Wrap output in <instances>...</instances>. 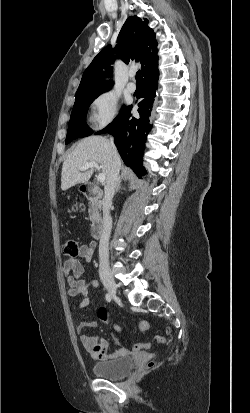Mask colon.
Segmentation results:
<instances>
[{
  "label": "colon",
  "mask_w": 250,
  "mask_h": 413,
  "mask_svg": "<svg viewBox=\"0 0 250 413\" xmlns=\"http://www.w3.org/2000/svg\"><path fill=\"white\" fill-rule=\"evenodd\" d=\"M63 251L66 255L68 256H76L78 255L79 252V244L77 242V240L75 239H69L65 242L64 247H63ZM98 316L99 318L105 322L108 323L109 322V316L107 314V311L104 308H101L98 312ZM150 327V322L148 320H140L138 322L137 328L139 331L143 332L146 331L148 328ZM154 342L159 343V344H163L165 343V339L162 336H156L154 339ZM153 345L151 343H146L144 341H135L130 343V348H131V353L132 354H137L138 352L141 351H147V348H151ZM155 365L154 361H149L147 363V369H151L153 368Z\"/></svg>",
  "instance_id": "1"
}]
</instances>
